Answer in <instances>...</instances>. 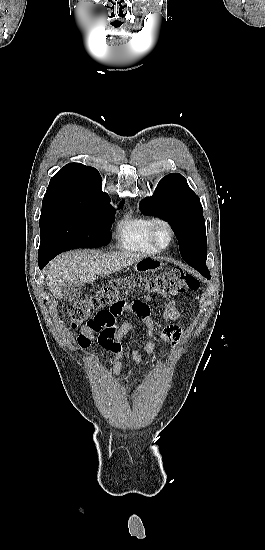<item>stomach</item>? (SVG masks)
Returning a JSON list of instances; mask_svg holds the SVG:
<instances>
[{"mask_svg": "<svg viewBox=\"0 0 265 550\" xmlns=\"http://www.w3.org/2000/svg\"><path fill=\"white\" fill-rule=\"evenodd\" d=\"M163 262L156 257H144L134 264V270L138 273L156 272L163 267Z\"/></svg>", "mask_w": 265, "mask_h": 550, "instance_id": "stomach-1", "label": "stomach"}]
</instances>
